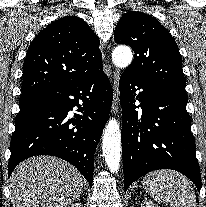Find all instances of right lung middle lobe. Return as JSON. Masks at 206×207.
<instances>
[{
  "label": "right lung middle lobe",
  "mask_w": 206,
  "mask_h": 207,
  "mask_svg": "<svg viewBox=\"0 0 206 207\" xmlns=\"http://www.w3.org/2000/svg\"><path fill=\"white\" fill-rule=\"evenodd\" d=\"M38 99L39 97L37 95H29V96L20 97V100H19L20 111L35 104L38 101Z\"/></svg>",
  "instance_id": "1"
}]
</instances>
